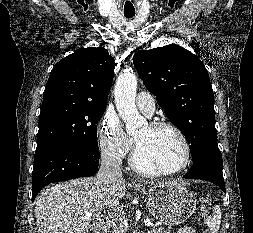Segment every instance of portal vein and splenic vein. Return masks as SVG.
I'll return each instance as SVG.
<instances>
[{
    "mask_svg": "<svg viewBox=\"0 0 253 233\" xmlns=\"http://www.w3.org/2000/svg\"><path fill=\"white\" fill-rule=\"evenodd\" d=\"M94 211H95V210L93 209V210H91L90 212H88V213H87V216H91V215L93 214ZM144 223H145V225H147V226H151V225H152L151 221H150L148 218H146V219L144 220Z\"/></svg>",
    "mask_w": 253,
    "mask_h": 233,
    "instance_id": "18ae733b",
    "label": "portal vein and splenic vein"
}]
</instances>
